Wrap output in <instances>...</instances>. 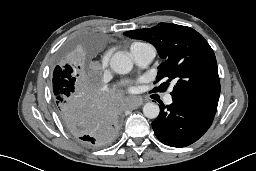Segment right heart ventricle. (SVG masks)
<instances>
[{
  "mask_svg": "<svg viewBox=\"0 0 256 171\" xmlns=\"http://www.w3.org/2000/svg\"><path fill=\"white\" fill-rule=\"evenodd\" d=\"M144 44H146V43H143V42H135V43H133V44L131 45L130 51H131L133 48H135V47H137V46H140V45H144Z\"/></svg>",
  "mask_w": 256,
  "mask_h": 171,
  "instance_id": "obj_1",
  "label": "right heart ventricle"
}]
</instances>
